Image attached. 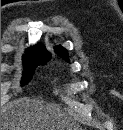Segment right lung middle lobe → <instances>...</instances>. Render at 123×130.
<instances>
[{
  "label": "right lung middle lobe",
  "mask_w": 123,
  "mask_h": 130,
  "mask_svg": "<svg viewBox=\"0 0 123 130\" xmlns=\"http://www.w3.org/2000/svg\"><path fill=\"white\" fill-rule=\"evenodd\" d=\"M50 59L49 56H29L24 57V72L22 83L26 84L28 82L29 77L34 73V69L41 64H45Z\"/></svg>",
  "instance_id": "dd1d6c3e"
}]
</instances>
